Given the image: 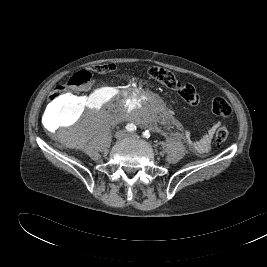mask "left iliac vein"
<instances>
[{
    "label": "left iliac vein",
    "mask_w": 267,
    "mask_h": 267,
    "mask_svg": "<svg viewBox=\"0 0 267 267\" xmlns=\"http://www.w3.org/2000/svg\"><path fill=\"white\" fill-rule=\"evenodd\" d=\"M129 136H132L133 137V136H136V135L135 134H129Z\"/></svg>",
    "instance_id": "obj_1"
}]
</instances>
